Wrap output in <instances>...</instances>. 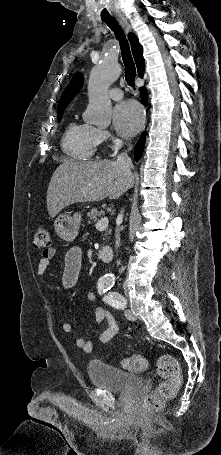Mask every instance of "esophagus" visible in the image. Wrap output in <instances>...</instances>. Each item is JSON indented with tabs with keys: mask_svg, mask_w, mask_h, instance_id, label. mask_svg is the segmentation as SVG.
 I'll list each match as a JSON object with an SVG mask.
<instances>
[{
	"mask_svg": "<svg viewBox=\"0 0 221 455\" xmlns=\"http://www.w3.org/2000/svg\"><path fill=\"white\" fill-rule=\"evenodd\" d=\"M117 20L126 32L130 31V25L124 16L118 15Z\"/></svg>",
	"mask_w": 221,
	"mask_h": 455,
	"instance_id": "34e87169",
	"label": "esophagus"
}]
</instances>
